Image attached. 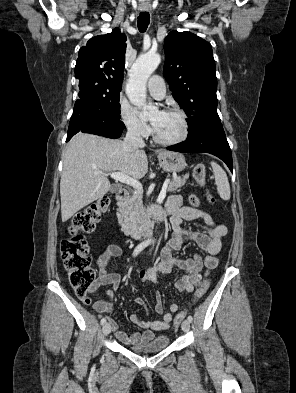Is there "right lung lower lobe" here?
<instances>
[{"label":"right lung lower lobe","mask_w":296,"mask_h":393,"mask_svg":"<svg viewBox=\"0 0 296 393\" xmlns=\"http://www.w3.org/2000/svg\"><path fill=\"white\" fill-rule=\"evenodd\" d=\"M124 128L123 122L108 112L78 99L74 105L66 141L78 132L116 139L121 136Z\"/></svg>","instance_id":"right-lung-lower-lobe-1"}]
</instances>
